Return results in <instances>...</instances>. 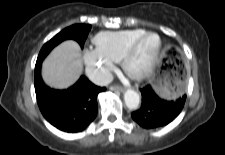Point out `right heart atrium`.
I'll return each instance as SVG.
<instances>
[{"label": "right heart atrium", "instance_id": "obj_1", "mask_svg": "<svg viewBox=\"0 0 225 155\" xmlns=\"http://www.w3.org/2000/svg\"><path fill=\"white\" fill-rule=\"evenodd\" d=\"M87 74L95 81H105L115 62L102 56L96 49H86L83 55Z\"/></svg>", "mask_w": 225, "mask_h": 155}]
</instances>
